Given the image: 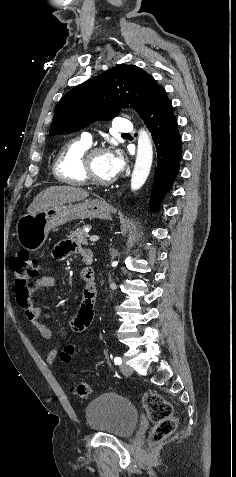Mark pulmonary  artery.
Returning <instances> with one entry per match:
<instances>
[{"label": "pulmonary artery", "mask_w": 236, "mask_h": 477, "mask_svg": "<svg viewBox=\"0 0 236 477\" xmlns=\"http://www.w3.org/2000/svg\"><path fill=\"white\" fill-rule=\"evenodd\" d=\"M113 130L121 134H129L134 131V128L128 120L124 118H116L113 121ZM81 141L87 145L92 144V136L88 132H83L81 135Z\"/></svg>", "instance_id": "obj_1"}]
</instances>
